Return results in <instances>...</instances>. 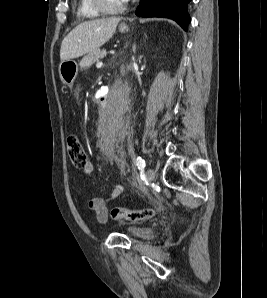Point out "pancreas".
Listing matches in <instances>:
<instances>
[{"label":"pancreas","instance_id":"pancreas-1","mask_svg":"<svg viewBox=\"0 0 267 298\" xmlns=\"http://www.w3.org/2000/svg\"><path fill=\"white\" fill-rule=\"evenodd\" d=\"M107 54L105 49H96L90 53H88L81 61V68H88L93 63L98 62L101 58H103Z\"/></svg>","mask_w":267,"mask_h":298}]
</instances>
